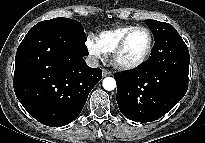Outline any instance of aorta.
<instances>
[{
  "label": "aorta",
  "instance_id": "aorta-1",
  "mask_svg": "<svg viewBox=\"0 0 205 143\" xmlns=\"http://www.w3.org/2000/svg\"><path fill=\"white\" fill-rule=\"evenodd\" d=\"M103 88L107 91H112L116 88V81L112 77H106L102 82Z\"/></svg>",
  "mask_w": 205,
  "mask_h": 143
}]
</instances>
